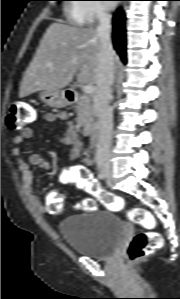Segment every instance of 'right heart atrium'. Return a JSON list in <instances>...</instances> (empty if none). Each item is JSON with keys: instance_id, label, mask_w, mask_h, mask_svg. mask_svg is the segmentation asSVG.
<instances>
[{"instance_id": "d8ad5b80", "label": "right heart atrium", "mask_w": 180, "mask_h": 299, "mask_svg": "<svg viewBox=\"0 0 180 299\" xmlns=\"http://www.w3.org/2000/svg\"><path fill=\"white\" fill-rule=\"evenodd\" d=\"M92 3L87 4L83 11L88 21H98L107 16V9L100 0H93Z\"/></svg>"}]
</instances>
